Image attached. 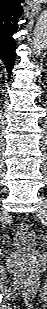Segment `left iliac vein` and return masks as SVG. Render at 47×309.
Here are the masks:
<instances>
[{
	"instance_id": "4c4485c4",
	"label": "left iliac vein",
	"mask_w": 47,
	"mask_h": 309,
	"mask_svg": "<svg viewBox=\"0 0 47 309\" xmlns=\"http://www.w3.org/2000/svg\"><path fill=\"white\" fill-rule=\"evenodd\" d=\"M36 213L39 218H46L47 216L46 199L42 200V206L36 211Z\"/></svg>"
}]
</instances>
